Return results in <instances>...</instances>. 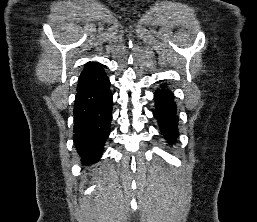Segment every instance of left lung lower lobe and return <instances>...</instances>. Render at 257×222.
Segmentation results:
<instances>
[{"label": "left lung lower lobe", "mask_w": 257, "mask_h": 222, "mask_svg": "<svg viewBox=\"0 0 257 222\" xmlns=\"http://www.w3.org/2000/svg\"><path fill=\"white\" fill-rule=\"evenodd\" d=\"M166 84L155 92L154 117L157 119L161 133L169 144H174L178 137V117L176 116V104L171 91L167 90Z\"/></svg>", "instance_id": "obj_1"}]
</instances>
